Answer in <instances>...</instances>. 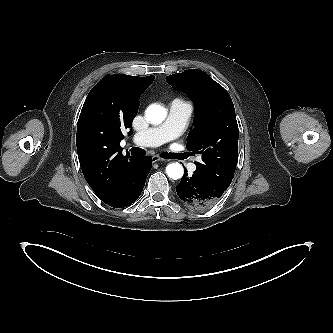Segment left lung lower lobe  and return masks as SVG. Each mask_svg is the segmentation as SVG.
I'll return each mask as SVG.
<instances>
[{
  "label": "left lung lower lobe",
  "instance_id": "left-lung-lower-lobe-1",
  "mask_svg": "<svg viewBox=\"0 0 333 333\" xmlns=\"http://www.w3.org/2000/svg\"><path fill=\"white\" fill-rule=\"evenodd\" d=\"M224 191L225 189L196 171L192 176H188L187 172H184L181 182L176 186V192L181 201L196 210L211 208Z\"/></svg>",
  "mask_w": 333,
  "mask_h": 333
}]
</instances>
